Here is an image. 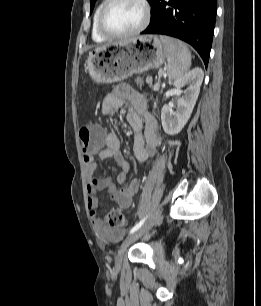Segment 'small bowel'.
<instances>
[{"label":"small bowel","instance_id":"c3829d8e","mask_svg":"<svg viewBox=\"0 0 261 306\" xmlns=\"http://www.w3.org/2000/svg\"><path fill=\"white\" fill-rule=\"evenodd\" d=\"M127 102L130 106L126 113V120L135 132L133 154L137 162L144 163L161 143V137L157 132L156 119L147 111L145 97L134 91L130 86L120 84L105 97L101 111L105 116L112 115ZM120 148V136L116 132H109L105 137V146L98 152V157L102 160L113 159L116 162L122 169L116 176V182L123 185L126 181L129 166L125 157L121 154ZM84 164L87 177V206L92 217L93 227L101 239L118 242L123 238L124 230L107 226L105 219L98 215L99 201L96 193L105 190L121 207L128 209L132 205L133 197L138 192L139 182L133 179L127 186L117 189L111 178L94 177L97 169L94 155H86Z\"/></svg>","mask_w":261,"mask_h":306}]
</instances>
